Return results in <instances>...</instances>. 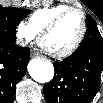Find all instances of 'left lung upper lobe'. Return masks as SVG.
Listing matches in <instances>:
<instances>
[{
  "label": "left lung upper lobe",
  "instance_id": "5c2ea615",
  "mask_svg": "<svg viewBox=\"0 0 103 103\" xmlns=\"http://www.w3.org/2000/svg\"><path fill=\"white\" fill-rule=\"evenodd\" d=\"M97 26L96 22L90 15H86V27L91 28Z\"/></svg>",
  "mask_w": 103,
  "mask_h": 103
}]
</instances>
